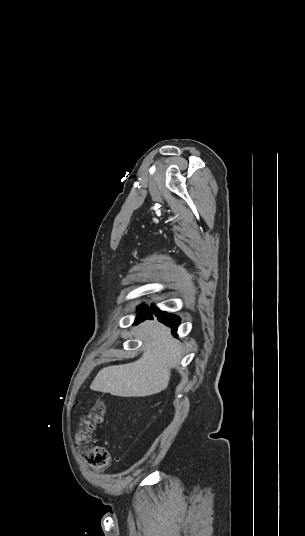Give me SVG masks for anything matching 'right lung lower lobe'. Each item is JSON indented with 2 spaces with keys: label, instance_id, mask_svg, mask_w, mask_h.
Instances as JSON below:
<instances>
[{
  "label": "right lung lower lobe",
  "instance_id": "98d812e1",
  "mask_svg": "<svg viewBox=\"0 0 305 536\" xmlns=\"http://www.w3.org/2000/svg\"><path fill=\"white\" fill-rule=\"evenodd\" d=\"M140 311L137 317L136 323L145 320L147 318H152V310L155 316L159 317V321L166 324L167 326H173L172 332L176 334L177 326L179 325L180 318L173 314H168L163 311L158 310L155 307L148 308L146 306H140Z\"/></svg>",
  "mask_w": 305,
  "mask_h": 536
}]
</instances>
